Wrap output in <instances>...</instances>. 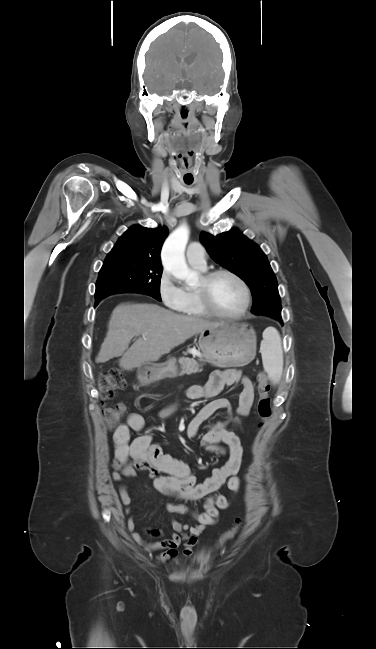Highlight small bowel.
Segmentation results:
<instances>
[{
	"instance_id": "obj_1",
	"label": "small bowel",
	"mask_w": 376,
	"mask_h": 649,
	"mask_svg": "<svg viewBox=\"0 0 376 649\" xmlns=\"http://www.w3.org/2000/svg\"><path fill=\"white\" fill-rule=\"evenodd\" d=\"M237 383L243 385L236 410L237 417L233 415L227 399L217 398L206 403L187 425V435L194 437L201 424L213 414L222 410L227 413V420L211 426L202 438V446L207 452L228 455L227 461L221 467L215 468L210 477L202 482H197L190 466L182 460L165 454L160 445L152 442V436L148 433L131 440V431H141L145 426L142 415L131 413L128 415L126 424L119 425L112 436L114 444L113 481L121 482L127 477H135L138 471H144L152 479L153 487L157 492L184 501L201 500L219 490L226 483L231 491H237L240 485L237 474L242 464L243 447L238 435L233 430H228L226 426L228 423L237 425L240 417L249 414L254 398L252 382L241 371L227 369L213 372L205 385H192L186 390V396L196 400L202 397H214L225 386ZM176 408V404H171L163 408L159 412V416L167 418L176 411ZM160 473L165 475H159ZM118 493L128 515L127 528L132 539L146 551L162 550L157 556L160 562L174 560L181 545L184 546V556H189L192 549L199 544V536L203 531L216 523L219 510L229 506V499L223 495L208 497L203 512L192 511L183 503L171 502L167 505L169 513L190 514L196 524H183L173 519L171 520L173 532L169 537L163 538L160 531L150 529L147 534L157 540L148 542L135 530L134 517L130 511L132 499L127 487L124 484L120 485Z\"/></svg>"
}]
</instances>
